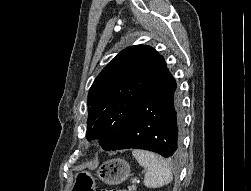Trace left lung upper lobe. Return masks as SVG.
<instances>
[{
    "label": "left lung upper lobe",
    "mask_w": 251,
    "mask_h": 191,
    "mask_svg": "<svg viewBox=\"0 0 251 191\" xmlns=\"http://www.w3.org/2000/svg\"><path fill=\"white\" fill-rule=\"evenodd\" d=\"M167 68L158 52L146 45L121 51L97 76L88 94L86 138H100L109 151L138 102Z\"/></svg>",
    "instance_id": "left-lung-upper-lobe-1"
}]
</instances>
